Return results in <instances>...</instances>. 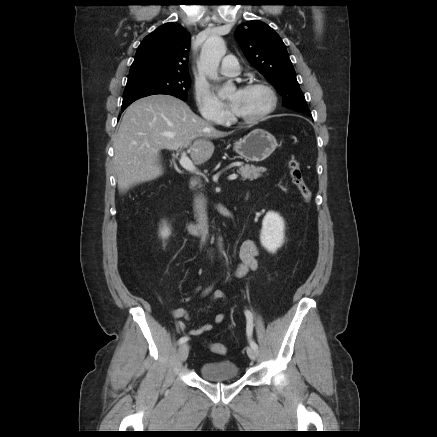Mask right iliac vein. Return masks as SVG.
<instances>
[{
  "mask_svg": "<svg viewBox=\"0 0 437 437\" xmlns=\"http://www.w3.org/2000/svg\"><path fill=\"white\" fill-rule=\"evenodd\" d=\"M189 355V346L187 344H183L179 347L178 356L181 362L186 361Z\"/></svg>",
  "mask_w": 437,
  "mask_h": 437,
  "instance_id": "63e3f726",
  "label": "right iliac vein"
}]
</instances>
